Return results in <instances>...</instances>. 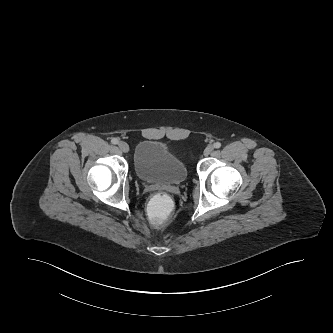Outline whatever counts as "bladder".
Returning a JSON list of instances; mask_svg holds the SVG:
<instances>
[{
	"mask_svg": "<svg viewBox=\"0 0 333 333\" xmlns=\"http://www.w3.org/2000/svg\"><path fill=\"white\" fill-rule=\"evenodd\" d=\"M133 167L146 183L179 185L188 175L186 163L167 146L153 140L141 141L135 148Z\"/></svg>",
	"mask_w": 333,
	"mask_h": 333,
	"instance_id": "obj_1",
	"label": "bladder"
}]
</instances>
